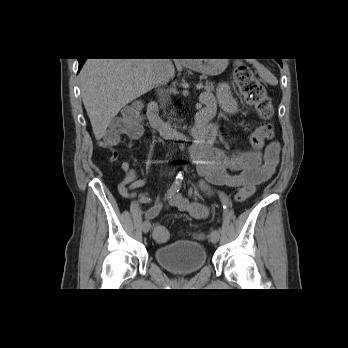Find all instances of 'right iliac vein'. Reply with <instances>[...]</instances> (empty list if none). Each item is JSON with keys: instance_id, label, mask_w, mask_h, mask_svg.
<instances>
[{"instance_id": "63e3f726", "label": "right iliac vein", "mask_w": 348, "mask_h": 348, "mask_svg": "<svg viewBox=\"0 0 348 348\" xmlns=\"http://www.w3.org/2000/svg\"><path fill=\"white\" fill-rule=\"evenodd\" d=\"M150 228H151L150 222H149V221H145V222L143 223V226H142L143 232H144L145 234L148 233L149 230H150Z\"/></svg>"}]
</instances>
